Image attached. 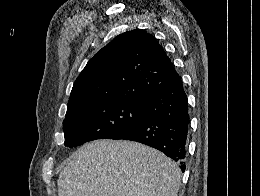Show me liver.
Here are the masks:
<instances>
[{
    "label": "liver",
    "instance_id": "obj_1",
    "mask_svg": "<svg viewBox=\"0 0 260 196\" xmlns=\"http://www.w3.org/2000/svg\"><path fill=\"white\" fill-rule=\"evenodd\" d=\"M181 172L159 150L129 140H94L70 156L59 196H177Z\"/></svg>",
    "mask_w": 260,
    "mask_h": 196
}]
</instances>
